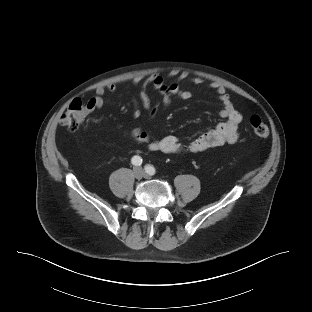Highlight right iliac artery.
I'll list each match as a JSON object with an SVG mask.
<instances>
[{
	"mask_svg": "<svg viewBox=\"0 0 312 312\" xmlns=\"http://www.w3.org/2000/svg\"><path fill=\"white\" fill-rule=\"evenodd\" d=\"M131 162L135 166H140L143 163V160L140 156H134V157H132Z\"/></svg>",
	"mask_w": 312,
	"mask_h": 312,
	"instance_id": "obj_1",
	"label": "right iliac artery"
}]
</instances>
